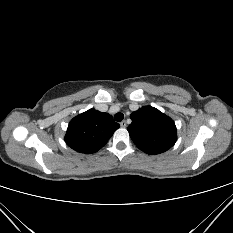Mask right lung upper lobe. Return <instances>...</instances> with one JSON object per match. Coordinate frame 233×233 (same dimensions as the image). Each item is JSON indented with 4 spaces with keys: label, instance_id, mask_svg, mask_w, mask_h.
<instances>
[{
    "label": "right lung upper lobe",
    "instance_id": "1",
    "mask_svg": "<svg viewBox=\"0 0 233 233\" xmlns=\"http://www.w3.org/2000/svg\"><path fill=\"white\" fill-rule=\"evenodd\" d=\"M119 127L110 114L90 109L70 121L65 141L77 152L94 153L108 142Z\"/></svg>",
    "mask_w": 233,
    "mask_h": 233
}]
</instances>
